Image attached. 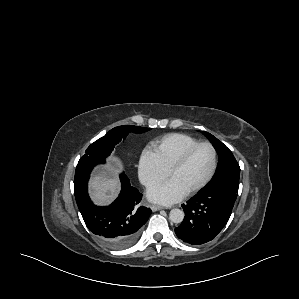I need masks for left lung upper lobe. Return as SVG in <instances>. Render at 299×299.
Wrapping results in <instances>:
<instances>
[{
    "instance_id": "5c2ea615",
    "label": "left lung upper lobe",
    "mask_w": 299,
    "mask_h": 299,
    "mask_svg": "<svg viewBox=\"0 0 299 299\" xmlns=\"http://www.w3.org/2000/svg\"><path fill=\"white\" fill-rule=\"evenodd\" d=\"M204 134L211 140L219 155L217 170L212 180L200 191L212 189H226L238 193L240 167L232 152L217 138L208 132Z\"/></svg>"
}]
</instances>
